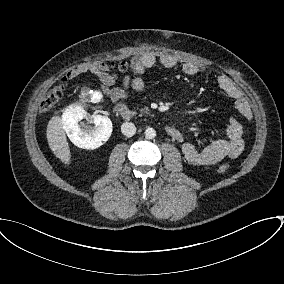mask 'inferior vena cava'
<instances>
[{
  "label": "inferior vena cava",
  "instance_id": "1",
  "mask_svg": "<svg viewBox=\"0 0 284 284\" xmlns=\"http://www.w3.org/2000/svg\"><path fill=\"white\" fill-rule=\"evenodd\" d=\"M122 133L127 137H132L136 133V127L131 122H125L121 126Z\"/></svg>",
  "mask_w": 284,
  "mask_h": 284
}]
</instances>
